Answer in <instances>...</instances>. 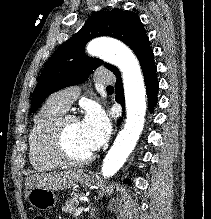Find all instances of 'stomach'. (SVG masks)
<instances>
[{"mask_svg":"<svg viewBox=\"0 0 211 219\" xmlns=\"http://www.w3.org/2000/svg\"><path fill=\"white\" fill-rule=\"evenodd\" d=\"M94 183V179L90 175H83L80 179L82 187H90ZM27 199L31 206L39 210H47L54 208L57 203V196L52 190L43 188H32L27 193Z\"/></svg>","mask_w":211,"mask_h":219,"instance_id":"0dacf381","label":"stomach"}]
</instances>
